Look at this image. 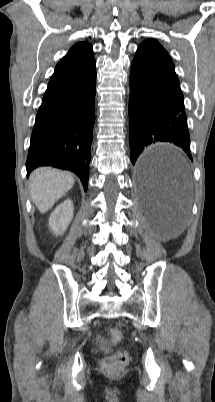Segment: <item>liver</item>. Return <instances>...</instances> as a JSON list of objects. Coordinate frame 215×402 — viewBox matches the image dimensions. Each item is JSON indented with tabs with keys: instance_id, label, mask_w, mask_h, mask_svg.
<instances>
[{
	"instance_id": "liver-1",
	"label": "liver",
	"mask_w": 215,
	"mask_h": 402,
	"mask_svg": "<svg viewBox=\"0 0 215 402\" xmlns=\"http://www.w3.org/2000/svg\"><path fill=\"white\" fill-rule=\"evenodd\" d=\"M29 182L33 203L45 213L73 187L74 178L69 172L41 167L31 173Z\"/></svg>"
}]
</instances>
